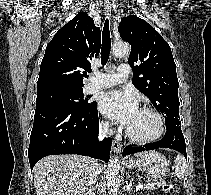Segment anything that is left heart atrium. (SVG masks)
Masks as SVG:
<instances>
[{"instance_id": "39dd6f15", "label": "left heart atrium", "mask_w": 211, "mask_h": 195, "mask_svg": "<svg viewBox=\"0 0 211 195\" xmlns=\"http://www.w3.org/2000/svg\"><path fill=\"white\" fill-rule=\"evenodd\" d=\"M99 109L121 126L128 127L139 108L131 93L111 90L100 96Z\"/></svg>"}]
</instances>
